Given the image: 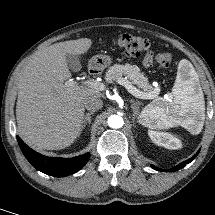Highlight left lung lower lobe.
I'll return each instance as SVG.
<instances>
[{"instance_id": "0a47b994", "label": "left lung lower lobe", "mask_w": 215, "mask_h": 215, "mask_svg": "<svg viewBox=\"0 0 215 215\" xmlns=\"http://www.w3.org/2000/svg\"><path fill=\"white\" fill-rule=\"evenodd\" d=\"M199 151H200V150H199ZM199 151H198L193 157H191L190 159H188V160H186V161L180 163L179 165H177V166H175V167H173V168H171V169L164 170V169H160V168H158V167H155L154 165H152V168L155 169V170H158V171L175 172V171H177V170H179V169L185 167L186 164H188V163H190L191 161H193V160L196 158V156L198 155Z\"/></svg>"}]
</instances>
